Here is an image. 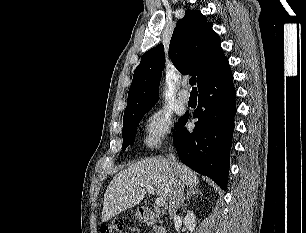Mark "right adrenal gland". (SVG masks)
<instances>
[{"mask_svg":"<svg viewBox=\"0 0 306 233\" xmlns=\"http://www.w3.org/2000/svg\"><path fill=\"white\" fill-rule=\"evenodd\" d=\"M195 194H202V192L198 189V188H195V187H188L187 189V193H186V196L181 200L180 202V206L181 208H183L185 205H184V202L191 198L192 195H195Z\"/></svg>","mask_w":306,"mask_h":233,"instance_id":"2a0ac1e0","label":"right adrenal gland"}]
</instances>
